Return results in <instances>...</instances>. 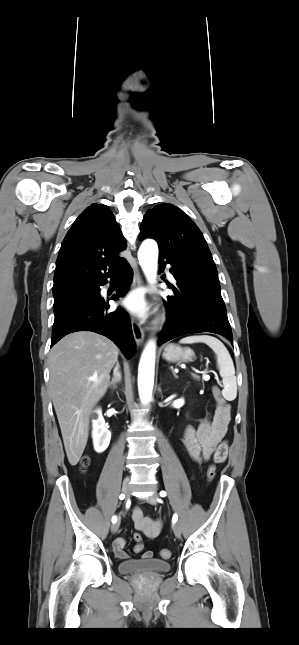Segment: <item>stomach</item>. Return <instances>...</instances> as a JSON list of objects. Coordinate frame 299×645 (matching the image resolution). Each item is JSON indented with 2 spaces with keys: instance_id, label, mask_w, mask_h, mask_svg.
<instances>
[{
  "instance_id": "1",
  "label": "stomach",
  "mask_w": 299,
  "mask_h": 645,
  "mask_svg": "<svg viewBox=\"0 0 299 645\" xmlns=\"http://www.w3.org/2000/svg\"><path fill=\"white\" fill-rule=\"evenodd\" d=\"M194 352L190 348H182L175 344H168L163 352V358L168 362L191 361Z\"/></svg>"
}]
</instances>
